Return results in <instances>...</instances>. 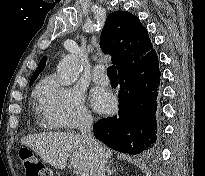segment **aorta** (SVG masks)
Segmentation results:
<instances>
[{"label": "aorta", "instance_id": "aorta-1", "mask_svg": "<svg viewBox=\"0 0 205 176\" xmlns=\"http://www.w3.org/2000/svg\"><path fill=\"white\" fill-rule=\"evenodd\" d=\"M79 62L75 55L65 56L57 66L59 83L69 86L75 83L79 77Z\"/></svg>", "mask_w": 205, "mask_h": 176}]
</instances>
